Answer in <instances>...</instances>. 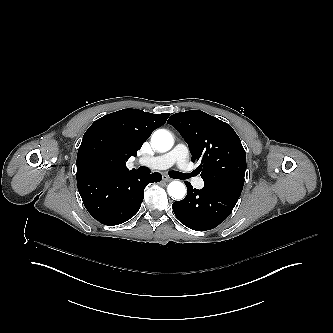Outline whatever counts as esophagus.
I'll return each instance as SVG.
<instances>
[{
  "label": "esophagus",
  "mask_w": 333,
  "mask_h": 333,
  "mask_svg": "<svg viewBox=\"0 0 333 333\" xmlns=\"http://www.w3.org/2000/svg\"><path fill=\"white\" fill-rule=\"evenodd\" d=\"M162 179L165 181V182H170V181H172V179L170 178V177H168L167 175H163L162 176Z\"/></svg>",
  "instance_id": "obj_1"
}]
</instances>
